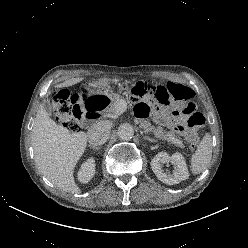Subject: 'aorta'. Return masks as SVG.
<instances>
[{
	"label": "aorta",
	"instance_id": "1",
	"mask_svg": "<svg viewBox=\"0 0 248 248\" xmlns=\"http://www.w3.org/2000/svg\"><path fill=\"white\" fill-rule=\"evenodd\" d=\"M117 134L121 140L128 141L132 139L134 135L133 126L128 123H124L118 127Z\"/></svg>",
	"mask_w": 248,
	"mask_h": 248
}]
</instances>
